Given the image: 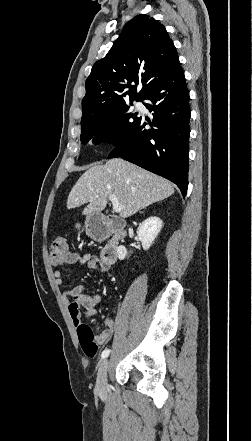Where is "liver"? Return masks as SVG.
Wrapping results in <instances>:
<instances>
[{
    "instance_id": "1",
    "label": "liver",
    "mask_w": 252,
    "mask_h": 441,
    "mask_svg": "<svg viewBox=\"0 0 252 441\" xmlns=\"http://www.w3.org/2000/svg\"><path fill=\"white\" fill-rule=\"evenodd\" d=\"M110 194L117 197L128 218L147 206L174 194L171 182L120 158L90 167L73 186L67 199L72 209L89 203L82 214L91 216L105 209Z\"/></svg>"
}]
</instances>
